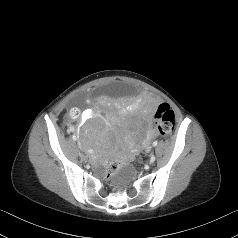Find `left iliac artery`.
I'll return each instance as SVG.
<instances>
[{
  "label": "left iliac artery",
  "mask_w": 238,
  "mask_h": 238,
  "mask_svg": "<svg viewBox=\"0 0 238 238\" xmlns=\"http://www.w3.org/2000/svg\"><path fill=\"white\" fill-rule=\"evenodd\" d=\"M157 144H158L157 141H154V142H153V146H156Z\"/></svg>",
  "instance_id": "44dca946"
}]
</instances>
